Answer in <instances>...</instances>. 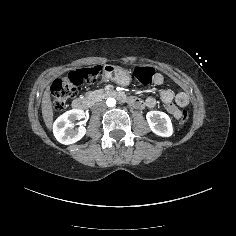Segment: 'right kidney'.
Instances as JSON below:
<instances>
[{"label": "right kidney", "instance_id": "obj_1", "mask_svg": "<svg viewBox=\"0 0 236 236\" xmlns=\"http://www.w3.org/2000/svg\"><path fill=\"white\" fill-rule=\"evenodd\" d=\"M85 117L83 110L72 109L59 116L53 124V133L58 142L69 145L79 141L86 133V128L80 125L73 129L74 122Z\"/></svg>", "mask_w": 236, "mask_h": 236}]
</instances>
